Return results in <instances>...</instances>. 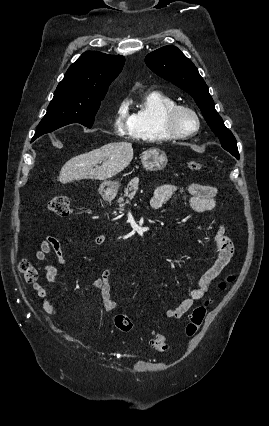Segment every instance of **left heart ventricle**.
Masks as SVG:
<instances>
[{
  "label": "left heart ventricle",
  "instance_id": "left-heart-ventricle-1",
  "mask_svg": "<svg viewBox=\"0 0 269 426\" xmlns=\"http://www.w3.org/2000/svg\"><path fill=\"white\" fill-rule=\"evenodd\" d=\"M178 124L184 129H193L195 127L194 119L187 113H182L178 118Z\"/></svg>",
  "mask_w": 269,
  "mask_h": 426
}]
</instances>
